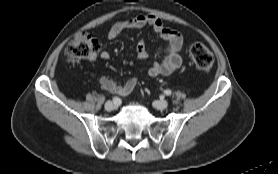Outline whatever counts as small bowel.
<instances>
[{"label":"small bowel","mask_w":278,"mask_h":174,"mask_svg":"<svg viewBox=\"0 0 278 174\" xmlns=\"http://www.w3.org/2000/svg\"><path fill=\"white\" fill-rule=\"evenodd\" d=\"M146 26L151 27L166 45L164 59L159 63H154L148 69V75L150 77H157L168 76L174 73L182 65L180 52L183 48V37L175 29L165 26L158 17L154 15H138L130 19L118 21L110 28L108 38L113 40L124 30L140 29ZM148 56L149 51L146 48L145 43L140 40L136 46V57L140 60H144ZM98 57L102 60H108L110 54L107 51H102L99 55H92L90 60H96ZM98 82L102 89L120 96H126L136 88L138 79L132 77L124 84H121L110 77L103 76L98 79Z\"/></svg>","instance_id":"1"}]
</instances>
